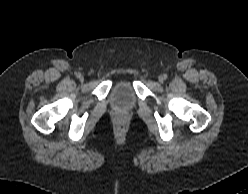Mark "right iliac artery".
Wrapping results in <instances>:
<instances>
[{
  "label": "right iliac artery",
  "mask_w": 248,
  "mask_h": 194,
  "mask_svg": "<svg viewBox=\"0 0 248 194\" xmlns=\"http://www.w3.org/2000/svg\"><path fill=\"white\" fill-rule=\"evenodd\" d=\"M81 76L80 73H76V77L79 78Z\"/></svg>",
  "instance_id": "1"
}]
</instances>
